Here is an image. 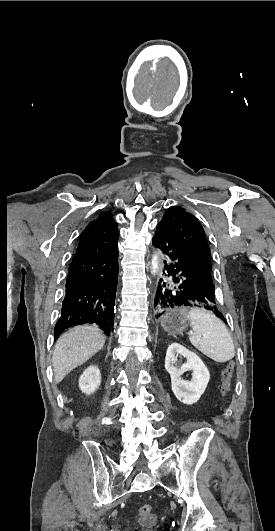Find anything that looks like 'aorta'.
I'll return each instance as SVG.
<instances>
[{
	"label": "aorta",
	"instance_id": "obj_1",
	"mask_svg": "<svg viewBox=\"0 0 275 531\" xmlns=\"http://www.w3.org/2000/svg\"><path fill=\"white\" fill-rule=\"evenodd\" d=\"M159 269V257L157 255V253H155V255H153L152 259H151V273L152 275H155V273H157Z\"/></svg>",
	"mask_w": 275,
	"mask_h": 531
}]
</instances>
